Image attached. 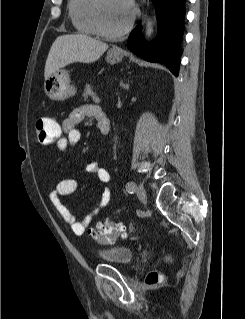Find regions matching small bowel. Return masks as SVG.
Masks as SVG:
<instances>
[{"label":"small bowel","mask_w":245,"mask_h":319,"mask_svg":"<svg viewBox=\"0 0 245 319\" xmlns=\"http://www.w3.org/2000/svg\"><path fill=\"white\" fill-rule=\"evenodd\" d=\"M102 111L95 105H83L74 109L67 118L62 122L63 135L57 142V148L60 151L67 150L80 143L82 135L77 128L78 124L84 121L86 118L94 117L98 118ZM89 172L96 175L98 180L108 185L111 180L110 173L98 163H93L89 167ZM78 187L76 179H63L60 180L54 189L50 193V201L61 216L62 220L70 226L72 232L75 235H82L86 229L111 202L112 193L108 187H105L102 192L98 203L95 207L81 220L77 221L72 212L62 203L61 197L73 194Z\"/></svg>","instance_id":"c3829d8e"}]
</instances>
